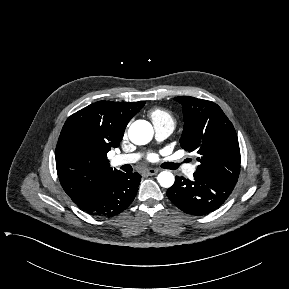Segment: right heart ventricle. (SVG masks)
Instances as JSON below:
<instances>
[{
	"label": "right heart ventricle",
	"mask_w": 289,
	"mask_h": 289,
	"mask_svg": "<svg viewBox=\"0 0 289 289\" xmlns=\"http://www.w3.org/2000/svg\"><path fill=\"white\" fill-rule=\"evenodd\" d=\"M149 117L154 125H171L175 126V119L172 113L163 108H155L149 112Z\"/></svg>",
	"instance_id": "e07e8e85"
}]
</instances>
